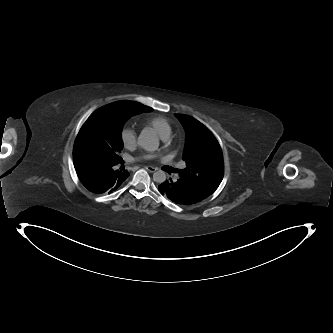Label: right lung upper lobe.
Returning a JSON list of instances; mask_svg holds the SVG:
<instances>
[{
	"label": "right lung upper lobe",
	"instance_id": "obj_1",
	"mask_svg": "<svg viewBox=\"0 0 333 333\" xmlns=\"http://www.w3.org/2000/svg\"><path fill=\"white\" fill-rule=\"evenodd\" d=\"M112 104L118 107H129L131 109H134L136 111V114L152 111V108L144 106L141 103L132 102V101H117Z\"/></svg>",
	"mask_w": 333,
	"mask_h": 333
}]
</instances>
